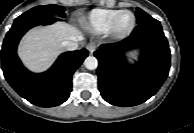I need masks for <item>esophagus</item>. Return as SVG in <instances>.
I'll list each match as a JSON object with an SVG mask.
<instances>
[{
  "label": "esophagus",
  "mask_w": 194,
  "mask_h": 133,
  "mask_svg": "<svg viewBox=\"0 0 194 133\" xmlns=\"http://www.w3.org/2000/svg\"><path fill=\"white\" fill-rule=\"evenodd\" d=\"M97 48V45L93 42H90L88 45H87V50L89 52V54H93L94 51L96 50Z\"/></svg>",
  "instance_id": "obj_1"
}]
</instances>
